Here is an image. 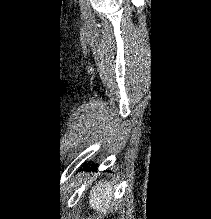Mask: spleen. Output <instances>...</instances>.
<instances>
[{
  "mask_svg": "<svg viewBox=\"0 0 211 219\" xmlns=\"http://www.w3.org/2000/svg\"><path fill=\"white\" fill-rule=\"evenodd\" d=\"M114 195V188L109 183L99 182L90 191L89 204L90 207L98 213L106 214L110 208L109 204Z\"/></svg>",
  "mask_w": 211,
  "mask_h": 219,
  "instance_id": "1",
  "label": "spleen"
}]
</instances>
